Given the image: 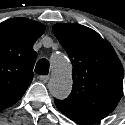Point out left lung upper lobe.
<instances>
[{
	"instance_id": "1",
	"label": "left lung upper lobe",
	"mask_w": 125,
	"mask_h": 125,
	"mask_svg": "<svg viewBox=\"0 0 125 125\" xmlns=\"http://www.w3.org/2000/svg\"><path fill=\"white\" fill-rule=\"evenodd\" d=\"M53 32L73 65V88L55 99L64 115L93 116L112 112L123 95V66L115 50L94 30L58 23Z\"/></svg>"
}]
</instances>
